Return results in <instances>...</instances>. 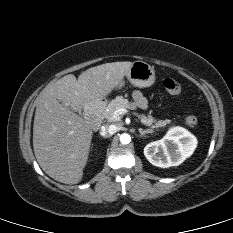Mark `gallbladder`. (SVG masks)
<instances>
[{
    "label": "gallbladder",
    "mask_w": 233,
    "mask_h": 233,
    "mask_svg": "<svg viewBox=\"0 0 233 233\" xmlns=\"http://www.w3.org/2000/svg\"><path fill=\"white\" fill-rule=\"evenodd\" d=\"M79 115H80V116H82V113H81V112H79Z\"/></svg>",
    "instance_id": "gallbladder-1"
}]
</instances>
